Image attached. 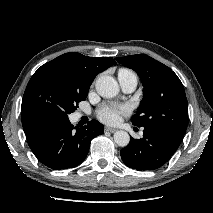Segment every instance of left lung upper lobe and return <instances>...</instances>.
Returning a JSON list of instances; mask_svg holds the SVG:
<instances>
[{
    "label": "left lung upper lobe",
    "mask_w": 213,
    "mask_h": 213,
    "mask_svg": "<svg viewBox=\"0 0 213 213\" xmlns=\"http://www.w3.org/2000/svg\"><path fill=\"white\" fill-rule=\"evenodd\" d=\"M116 60L132 68L144 87L143 100L131 120L133 125L166 128L184 135L188 103L178 76L169 67L145 54L117 57Z\"/></svg>",
    "instance_id": "left-lung-upper-lobe-1"
}]
</instances>
